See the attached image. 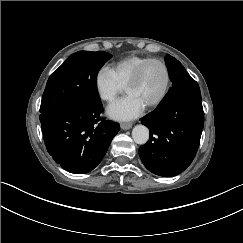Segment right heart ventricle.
<instances>
[{"label":"right heart ventricle","mask_w":243,"mask_h":243,"mask_svg":"<svg viewBox=\"0 0 243 243\" xmlns=\"http://www.w3.org/2000/svg\"><path fill=\"white\" fill-rule=\"evenodd\" d=\"M149 58L151 57L140 54H131L113 63L111 68L116 76L118 83L121 86H125L139 65Z\"/></svg>","instance_id":"1"}]
</instances>
